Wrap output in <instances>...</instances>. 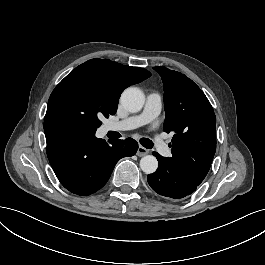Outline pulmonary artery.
I'll return each instance as SVG.
<instances>
[{
	"label": "pulmonary artery",
	"mask_w": 265,
	"mask_h": 265,
	"mask_svg": "<svg viewBox=\"0 0 265 265\" xmlns=\"http://www.w3.org/2000/svg\"><path fill=\"white\" fill-rule=\"evenodd\" d=\"M164 95L159 89H152L146 95V105L143 113L138 116H131L119 122H109L107 127L109 130L126 131L135 129L151 121L153 117L160 114V104L164 102Z\"/></svg>",
	"instance_id": "obj_1"
}]
</instances>
